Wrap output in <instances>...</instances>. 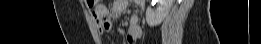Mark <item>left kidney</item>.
Returning a JSON list of instances; mask_svg holds the SVG:
<instances>
[{"label":"left kidney","instance_id":"obj_1","mask_svg":"<svg viewBox=\"0 0 261 44\" xmlns=\"http://www.w3.org/2000/svg\"><path fill=\"white\" fill-rule=\"evenodd\" d=\"M158 2L155 9L148 7L146 10V22L150 27L159 25L168 15L174 0H153V3Z\"/></svg>","mask_w":261,"mask_h":44}]
</instances>
